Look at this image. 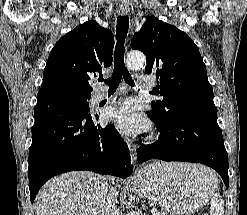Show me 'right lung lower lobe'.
<instances>
[{
	"label": "right lung lower lobe",
	"mask_w": 247,
	"mask_h": 215,
	"mask_svg": "<svg viewBox=\"0 0 247 215\" xmlns=\"http://www.w3.org/2000/svg\"><path fill=\"white\" fill-rule=\"evenodd\" d=\"M41 90L34 110L29 150L31 202L51 177L88 170L126 178L133 166L127 144L113 125L101 127L98 116Z\"/></svg>",
	"instance_id": "right-lung-lower-lobe-1"
}]
</instances>
